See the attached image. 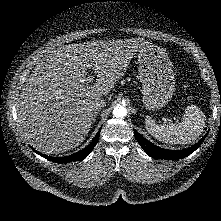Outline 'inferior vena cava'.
Listing matches in <instances>:
<instances>
[{"mask_svg": "<svg viewBox=\"0 0 221 221\" xmlns=\"http://www.w3.org/2000/svg\"><path fill=\"white\" fill-rule=\"evenodd\" d=\"M104 106H106V101L104 99H102V98H96L92 102L91 109L93 111H95V110H99V109L103 108Z\"/></svg>", "mask_w": 221, "mask_h": 221, "instance_id": "inferior-vena-cava-1", "label": "inferior vena cava"}]
</instances>
